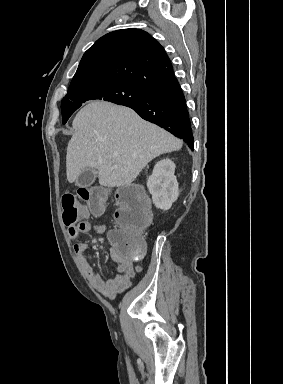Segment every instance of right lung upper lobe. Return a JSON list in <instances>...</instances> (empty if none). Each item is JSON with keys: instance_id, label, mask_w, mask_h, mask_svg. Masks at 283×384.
Wrapping results in <instances>:
<instances>
[{"instance_id": "obj_1", "label": "right lung upper lobe", "mask_w": 283, "mask_h": 384, "mask_svg": "<svg viewBox=\"0 0 283 384\" xmlns=\"http://www.w3.org/2000/svg\"><path fill=\"white\" fill-rule=\"evenodd\" d=\"M174 76L164 48L153 37L124 29L106 34L85 52L69 89L121 82L150 90Z\"/></svg>"}]
</instances>
